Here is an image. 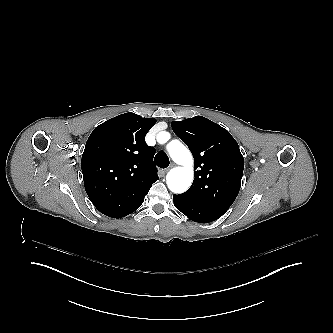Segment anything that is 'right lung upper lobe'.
Instances as JSON below:
<instances>
[{
    "mask_svg": "<svg viewBox=\"0 0 333 333\" xmlns=\"http://www.w3.org/2000/svg\"><path fill=\"white\" fill-rule=\"evenodd\" d=\"M156 123L153 118H143L125 113L97 126L89 136L82 155L81 168L104 159L116 177H156L153 163L155 148L145 142V135Z\"/></svg>",
    "mask_w": 333,
    "mask_h": 333,
    "instance_id": "1",
    "label": "right lung upper lobe"
}]
</instances>
